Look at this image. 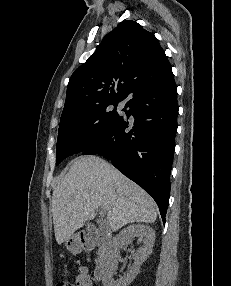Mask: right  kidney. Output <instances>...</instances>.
I'll return each mask as SVG.
<instances>
[{
    "label": "right kidney",
    "instance_id": "ca27d5eb",
    "mask_svg": "<svg viewBox=\"0 0 231 286\" xmlns=\"http://www.w3.org/2000/svg\"><path fill=\"white\" fill-rule=\"evenodd\" d=\"M135 237L138 238V243H142V246H140L136 251L131 249L134 263L128 273H126L119 280L115 281L113 279V273L118 266L117 255L120 249L125 244H131ZM154 242L155 231L148 225L135 224L123 229L117 236L112 239L110 243L111 251L102 279L103 286H128L140 272V267L143 262L152 253Z\"/></svg>",
    "mask_w": 231,
    "mask_h": 286
}]
</instances>
